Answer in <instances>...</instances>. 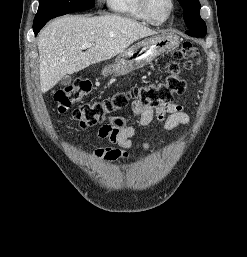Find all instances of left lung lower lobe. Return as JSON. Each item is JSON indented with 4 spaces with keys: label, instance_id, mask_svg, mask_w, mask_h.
<instances>
[{
    "label": "left lung lower lobe",
    "instance_id": "1",
    "mask_svg": "<svg viewBox=\"0 0 247 257\" xmlns=\"http://www.w3.org/2000/svg\"><path fill=\"white\" fill-rule=\"evenodd\" d=\"M187 34L190 36H193V37H204L203 35H198V34H194V33H187Z\"/></svg>",
    "mask_w": 247,
    "mask_h": 257
}]
</instances>
